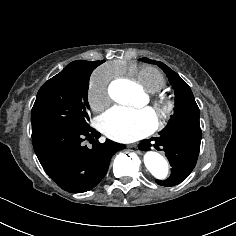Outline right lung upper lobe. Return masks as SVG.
Here are the masks:
<instances>
[{
	"label": "right lung upper lobe",
	"instance_id": "right-lung-upper-lobe-1",
	"mask_svg": "<svg viewBox=\"0 0 236 236\" xmlns=\"http://www.w3.org/2000/svg\"><path fill=\"white\" fill-rule=\"evenodd\" d=\"M104 61H85V60H76L68 64L65 68H96Z\"/></svg>",
	"mask_w": 236,
	"mask_h": 236
}]
</instances>
